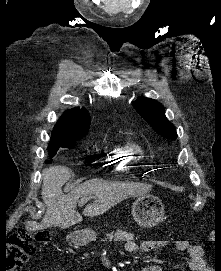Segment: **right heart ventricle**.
Here are the masks:
<instances>
[{"instance_id":"obj_1","label":"right heart ventricle","mask_w":221,"mask_h":271,"mask_svg":"<svg viewBox=\"0 0 221 271\" xmlns=\"http://www.w3.org/2000/svg\"><path fill=\"white\" fill-rule=\"evenodd\" d=\"M125 147H127L129 144L125 142L123 144ZM133 151L136 149L134 146L131 148ZM117 158H108L107 162L108 163H113L114 164H124L126 161V164H139L141 161L137 158H133V154H117ZM118 167V172H129V167L133 166H117Z\"/></svg>"}]
</instances>
